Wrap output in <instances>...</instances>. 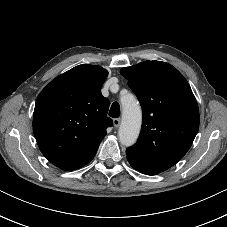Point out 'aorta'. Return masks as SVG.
<instances>
[{"mask_svg":"<svg viewBox=\"0 0 227 227\" xmlns=\"http://www.w3.org/2000/svg\"><path fill=\"white\" fill-rule=\"evenodd\" d=\"M121 103L122 121L118 136L120 143L129 147L138 139L142 123V111L138 101L132 95L122 98Z\"/></svg>","mask_w":227,"mask_h":227,"instance_id":"762f6f07","label":"aorta"}]
</instances>
